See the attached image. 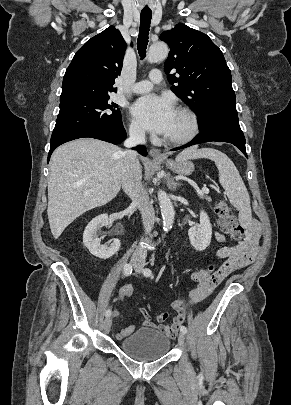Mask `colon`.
I'll return each instance as SVG.
<instances>
[{
    "mask_svg": "<svg viewBox=\"0 0 291 405\" xmlns=\"http://www.w3.org/2000/svg\"><path fill=\"white\" fill-rule=\"evenodd\" d=\"M216 215L218 216L219 226L221 230L235 240H242L245 236L244 228L237 222L234 215L231 213L228 205L224 201H219L215 207ZM216 273L213 265L206 269H200L194 273L193 279L197 283L210 281ZM133 295V288L130 285H125L120 290L122 298H128Z\"/></svg>",
    "mask_w": 291,
    "mask_h": 405,
    "instance_id": "obj_1",
    "label": "colon"
}]
</instances>
